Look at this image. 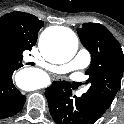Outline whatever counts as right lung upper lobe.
<instances>
[{
  "label": "right lung upper lobe",
  "mask_w": 124,
  "mask_h": 124,
  "mask_svg": "<svg viewBox=\"0 0 124 124\" xmlns=\"http://www.w3.org/2000/svg\"><path fill=\"white\" fill-rule=\"evenodd\" d=\"M43 21L36 16L14 11L0 17V42L7 47L6 52L0 53L1 65H14L19 63L24 50H31L36 44L38 31L43 27Z\"/></svg>",
  "instance_id": "right-lung-upper-lobe-1"
}]
</instances>
